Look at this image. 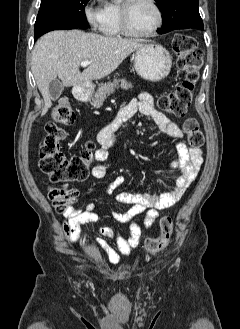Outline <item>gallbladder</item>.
Here are the masks:
<instances>
[{
  "instance_id": "gallbladder-1",
  "label": "gallbladder",
  "mask_w": 240,
  "mask_h": 329,
  "mask_svg": "<svg viewBox=\"0 0 240 329\" xmlns=\"http://www.w3.org/2000/svg\"><path fill=\"white\" fill-rule=\"evenodd\" d=\"M64 90L62 82L58 79H54L49 83V94L52 101L58 99Z\"/></svg>"
}]
</instances>
